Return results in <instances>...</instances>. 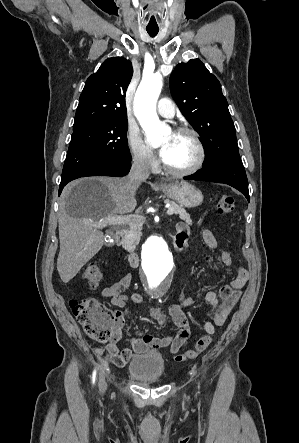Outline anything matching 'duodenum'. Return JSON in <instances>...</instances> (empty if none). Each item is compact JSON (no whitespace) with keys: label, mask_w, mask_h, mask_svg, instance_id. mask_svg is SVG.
<instances>
[{"label":"duodenum","mask_w":299,"mask_h":443,"mask_svg":"<svg viewBox=\"0 0 299 443\" xmlns=\"http://www.w3.org/2000/svg\"><path fill=\"white\" fill-rule=\"evenodd\" d=\"M123 236H124L123 230H118L116 233V239L119 242H122ZM185 245H186V243L184 241H179L178 239H175V241H174V249L177 252L182 251L184 249ZM128 261H129V264L131 267H133V268L138 267L139 255L135 251L130 250L129 255H128Z\"/></svg>","instance_id":"obj_1"}]
</instances>
